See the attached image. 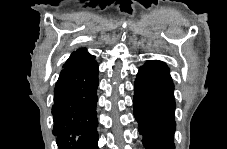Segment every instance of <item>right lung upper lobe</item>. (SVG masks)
I'll return each mask as SVG.
<instances>
[{"instance_id": "1", "label": "right lung upper lobe", "mask_w": 227, "mask_h": 149, "mask_svg": "<svg viewBox=\"0 0 227 149\" xmlns=\"http://www.w3.org/2000/svg\"><path fill=\"white\" fill-rule=\"evenodd\" d=\"M90 57H93V56L90 55L85 48H80L71 54L69 59L63 65V67L69 66L73 63H76V62L84 60V59H88Z\"/></svg>"}]
</instances>
